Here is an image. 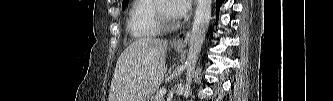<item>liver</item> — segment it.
Masks as SVG:
<instances>
[{"label": "liver", "instance_id": "1", "mask_svg": "<svg viewBox=\"0 0 333 101\" xmlns=\"http://www.w3.org/2000/svg\"><path fill=\"white\" fill-rule=\"evenodd\" d=\"M167 42L144 38L130 44L119 56L108 101H146L161 85Z\"/></svg>", "mask_w": 333, "mask_h": 101}]
</instances>
